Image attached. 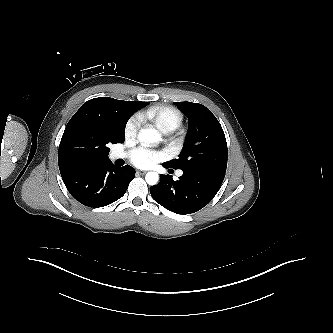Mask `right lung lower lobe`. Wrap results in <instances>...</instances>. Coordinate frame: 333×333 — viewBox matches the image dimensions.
<instances>
[{"mask_svg": "<svg viewBox=\"0 0 333 333\" xmlns=\"http://www.w3.org/2000/svg\"><path fill=\"white\" fill-rule=\"evenodd\" d=\"M135 176L129 165L116 167L110 160L84 164L63 178L70 194L88 207H103L120 199Z\"/></svg>", "mask_w": 333, "mask_h": 333, "instance_id": "right-lung-lower-lobe-1", "label": "right lung lower lobe"}]
</instances>
